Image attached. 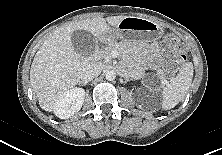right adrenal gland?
Returning a JSON list of instances; mask_svg holds the SVG:
<instances>
[{"mask_svg": "<svg viewBox=\"0 0 222 155\" xmlns=\"http://www.w3.org/2000/svg\"><path fill=\"white\" fill-rule=\"evenodd\" d=\"M79 85H87V82H79Z\"/></svg>", "mask_w": 222, "mask_h": 155, "instance_id": "2a0ac1e0", "label": "right adrenal gland"}]
</instances>
